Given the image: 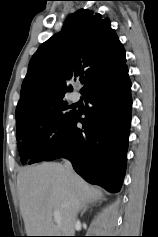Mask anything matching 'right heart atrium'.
Returning a JSON list of instances; mask_svg holds the SVG:
<instances>
[{
	"label": "right heart atrium",
	"instance_id": "d8ad5b80",
	"mask_svg": "<svg viewBox=\"0 0 158 237\" xmlns=\"http://www.w3.org/2000/svg\"><path fill=\"white\" fill-rule=\"evenodd\" d=\"M57 134V128L54 124L50 123L43 129V137L45 142H51Z\"/></svg>",
	"mask_w": 158,
	"mask_h": 237
}]
</instances>
